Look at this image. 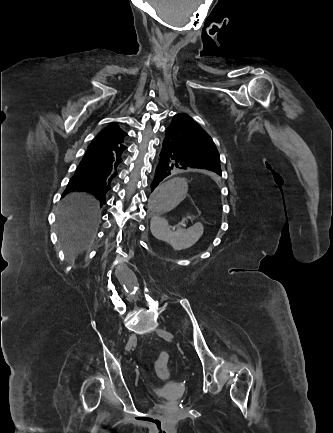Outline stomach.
Segmentation results:
<instances>
[{"mask_svg":"<svg viewBox=\"0 0 333 433\" xmlns=\"http://www.w3.org/2000/svg\"><path fill=\"white\" fill-rule=\"evenodd\" d=\"M187 183L184 179L169 176L167 183H157L152 192L151 201L147 202L148 215H171L177 209V203L187 199Z\"/></svg>","mask_w":333,"mask_h":433,"instance_id":"0dacf381","label":"stomach"}]
</instances>
